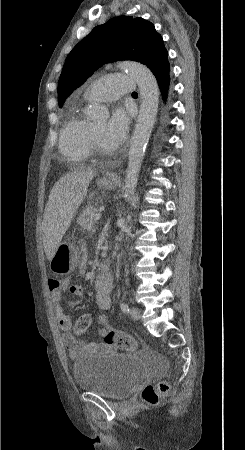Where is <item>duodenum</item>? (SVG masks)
Instances as JSON below:
<instances>
[{"label":"duodenum","instance_id":"duodenum-1","mask_svg":"<svg viewBox=\"0 0 245 450\" xmlns=\"http://www.w3.org/2000/svg\"><path fill=\"white\" fill-rule=\"evenodd\" d=\"M99 270L102 273H109L111 271V265L107 262H103L99 265Z\"/></svg>","mask_w":245,"mask_h":450}]
</instances>
